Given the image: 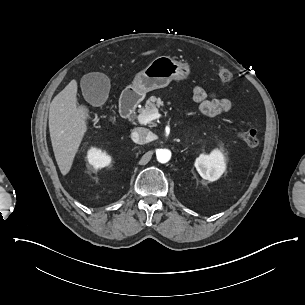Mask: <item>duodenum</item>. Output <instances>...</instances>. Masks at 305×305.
<instances>
[{"label":"duodenum","instance_id":"obj_1","mask_svg":"<svg viewBox=\"0 0 305 305\" xmlns=\"http://www.w3.org/2000/svg\"><path fill=\"white\" fill-rule=\"evenodd\" d=\"M140 101V94L136 91H128L124 93L120 100V110L121 114L130 118L134 115L136 106Z\"/></svg>","mask_w":305,"mask_h":305}]
</instances>
